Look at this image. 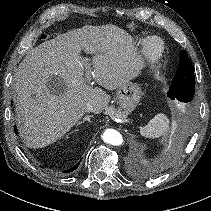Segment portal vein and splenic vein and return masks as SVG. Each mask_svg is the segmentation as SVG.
<instances>
[{"mask_svg": "<svg viewBox=\"0 0 211 211\" xmlns=\"http://www.w3.org/2000/svg\"><path fill=\"white\" fill-rule=\"evenodd\" d=\"M93 75V74H92ZM94 76V75H93ZM86 81L89 83L91 81V76L89 72L86 74Z\"/></svg>", "mask_w": 211, "mask_h": 211, "instance_id": "18ae733b", "label": "portal vein and splenic vein"}]
</instances>
